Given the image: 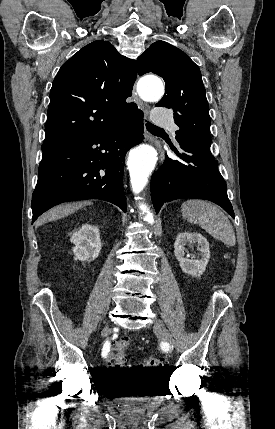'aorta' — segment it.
Segmentation results:
<instances>
[{"mask_svg": "<svg viewBox=\"0 0 275 429\" xmlns=\"http://www.w3.org/2000/svg\"><path fill=\"white\" fill-rule=\"evenodd\" d=\"M139 93L146 101H158L164 94V86L157 77H146L139 83ZM157 162V151L150 145H140L134 149L129 157L128 167L130 182L135 194H139L147 185L148 177ZM136 199H140L136 197ZM143 220L152 224L153 214L145 204L139 206Z\"/></svg>", "mask_w": 275, "mask_h": 429, "instance_id": "aorta-1", "label": "aorta"}]
</instances>
